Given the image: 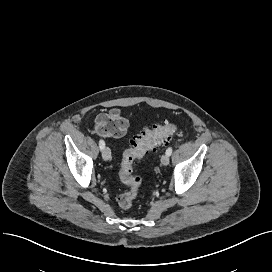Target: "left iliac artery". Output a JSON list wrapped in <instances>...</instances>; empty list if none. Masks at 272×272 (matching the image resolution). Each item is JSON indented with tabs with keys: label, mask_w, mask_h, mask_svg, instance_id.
Segmentation results:
<instances>
[{
	"label": "left iliac artery",
	"mask_w": 272,
	"mask_h": 272,
	"mask_svg": "<svg viewBox=\"0 0 272 272\" xmlns=\"http://www.w3.org/2000/svg\"><path fill=\"white\" fill-rule=\"evenodd\" d=\"M166 154L168 156H170L172 154V147H169L167 150H166Z\"/></svg>",
	"instance_id": "left-iliac-artery-1"
}]
</instances>
